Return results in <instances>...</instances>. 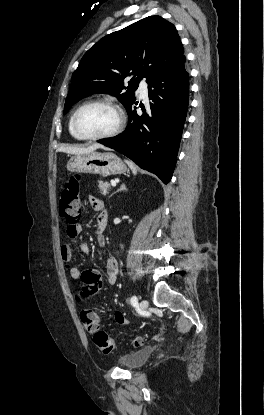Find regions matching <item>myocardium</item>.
<instances>
[{
  "label": "myocardium",
  "instance_id": "f54148a6",
  "mask_svg": "<svg viewBox=\"0 0 264 415\" xmlns=\"http://www.w3.org/2000/svg\"><path fill=\"white\" fill-rule=\"evenodd\" d=\"M93 105H104L114 109L117 113V124L114 129L108 133L100 134V135H87L83 133L78 127V116L80 112L85 109L86 107L93 106ZM125 125V114L123 109L114 101L109 99H97L88 101L81 106H79L73 114L72 117V127L77 136L84 140H103L109 139L117 136L124 128Z\"/></svg>",
  "mask_w": 264,
  "mask_h": 415
}]
</instances>
